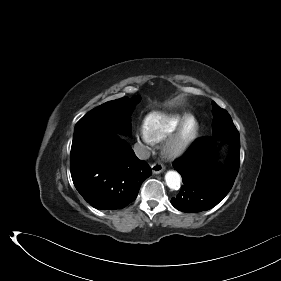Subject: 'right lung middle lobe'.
<instances>
[{
	"instance_id": "right-lung-middle-lobe-1",
	"label": "right lung middle lobe",
	"mask_w": 281,
	"mask_h": 281,
	"mask_svg": "<svg viewBox=\"0 0 281 281\" xmlns=\"http://www.w3.org/2000/svg\"><path fill=\"white\" fill-rule=\"evenodd\" d=\"M139 101V96L132 99L123 97L94 108L76 123L73 142L91 135L99 136L111 132L130 133V116Z\"/></svg>"
}]
</instances>
